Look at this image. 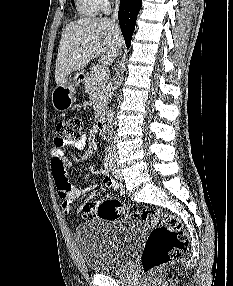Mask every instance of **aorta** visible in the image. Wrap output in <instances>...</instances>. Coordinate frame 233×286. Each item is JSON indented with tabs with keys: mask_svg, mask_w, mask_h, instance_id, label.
Here are the masks:
<instances>
[{
	"mask_svg": "<svg viewBox=\"0 0 233 286\" xmlns=\"http://www.w3.org/2000/svg\"><path fill=\"white\" fill-rule=\"evenodd\" d=\"M113 119H114V110L113 108H110V110L107 113L106 121H107V128L112 129L113 127ZM109 134H111V131H109Z\"/></svg>",
	"mask_w": 233,
	"mask_h": 286,
	"instance_id": "762f6f07",
	"label": "aorta"
}]
</instances>
